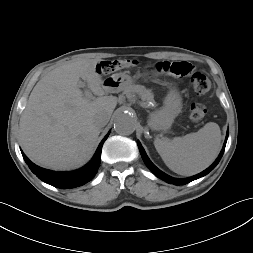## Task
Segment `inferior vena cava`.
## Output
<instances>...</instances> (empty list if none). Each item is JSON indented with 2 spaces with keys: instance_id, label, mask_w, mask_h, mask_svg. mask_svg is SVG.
<instances>
[{
  "instance_id": "1",
  "label": "inferior vena cava",
  "mask_w": 253,
  "mask_h": 253,
  "mask_svg": "<svg viewBox=\"0 0 253 253\" xmlns=\"http://www.w3.org/2000/svg\"><path fill=\"white\" fill-rule=\"evenodd\" d=\"M109 119V115H107L106 113H101L96 116L95 123L99 127H104L108 123Z\"/></svg>"
}]
</instances>
